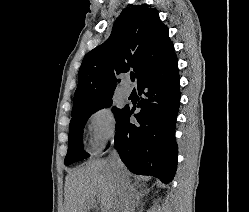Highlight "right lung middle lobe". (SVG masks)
<instances>
[{
	"label": "right lung middle lobe",
	"mask_w": 249,
	"mask_h": 212,
	"mask_svg": "<svg viewBox=\"0 0 249 212\" xmlns=\"http://www.w3.org/2000/svg\"><path fill=\"white\" fill-rule=\"evenodd\" d=\"M111 97L103 99L102 101L87 106L83 108L73 109L71 112V121L69 125V141H68V152L64 160L65 165H70L74 162L83 160L89 157V154L83 150V146L81 145L83 128L88 120V118L95 113L96 111L110 107L112 104ZM112 111L115 116V120L121 117L123 113V109H119L117 107H113Z\"/></svg>",
	"instance_id": "right-lung-middle-lobe-1"
}]
</instances>
